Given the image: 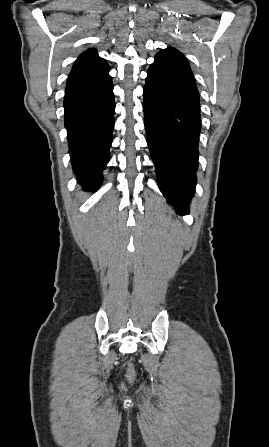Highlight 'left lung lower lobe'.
Wrapping results in <instances>:
<instances>
[{"instance_id": "left-lung-lower-lobe-1", "label": "left lung lower lobe", "mask_w": 269, "mask_h": 447, "mask_svg": "<svg viewBox=\"0 0 269 447\" xmlns=\"http://www.w3.org/2000/svg\"><path fill=\"white\" fill-rule=\"evenodd\" d=\"M200 99L187 59L171 47L158 52L144 87L147 143L159 188L178 212L195 192Z\"/></svg>"}]
</instances>
